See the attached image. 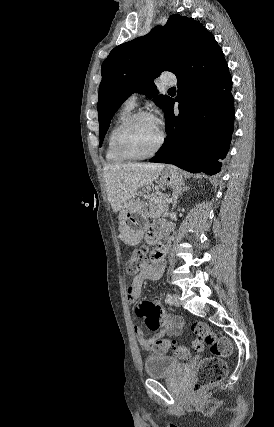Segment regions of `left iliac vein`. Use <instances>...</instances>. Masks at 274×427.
Wrapping results in <instances>:
<instances>
[{
	"label": "left iliac vein",
	"mask_w": 274,
	"mask_h": 427,
	"mask_svg": "<svg viewBox=\"0 0 274 427\" xmlns=\"http://www.w3.org/2000/svg\"><path fill=\"white\" fill-rule=\"evenodd\" d=\"M173 303L177 307L181 305L180 296L178 294L173 295Z\"/></svg>",
	"instance_id": "1"
}]
</instances>
